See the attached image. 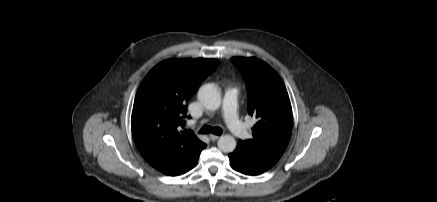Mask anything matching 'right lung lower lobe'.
<instances>
[{"label":"right lung lower lobe","mask_w":437,"mask_h":202,"mask_svg":"<svg viewBox=\"0 0 437 202\" xmlns=\"http://www.w3.org/2000/svg\"><path fill=\"white\" fill-rule=\"evenodd\" d=\"M206 147V145H204L201 150L199 152H197L188 162H186L184 165H182L180 168H178L176 171H174L173 173L169 174L171 176H177V175H181L184 174L186 172H188L189 170H191L193 167L196 166L197 162H198V158L200 155V152Z\"/></svg>","instance_id":"1"}]
</instances>
